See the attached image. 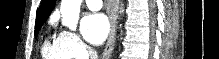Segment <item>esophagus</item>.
<instances>
[{"mask_svg":"<svg viewBox=\"0 0 219 59\" xmlns=\"http://www.w3.org/2000/svg\"><path fill=\"white\" fill-rule=\"evenodd\" d=\"M111 3L115 9H118L119 0H112ZM109 20H110V34L102 55L103 59H108L114 49L115 36H116V22H115L116 18L113 9H111L110 11Z\"/></svg>","mask_w":219,"mask_h":59,"instance_id":"obj_1","label":"esophagus"}]
</instances>
